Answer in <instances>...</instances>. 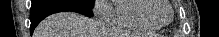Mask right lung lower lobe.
Instances as JSON below:
<instances>
[{"instance_id": "1", "label": "right lung lower lobe", "mask_w": 219, "mask_h": 37, "mask_svg": "<svg viewBox=\"0 0 219 37\" xmlns=\"http://www.w3.org/2000/svg\"><path fill=\"white\" fill-rule=\"evenodd\" d=\"M63 11H73L81 13L88 17L93 15L92 9L83 6L75 1L64 0H49L31 6V27L30 31L33 33L36 26L48 15Z\"/></svg>"}]
</instances>
